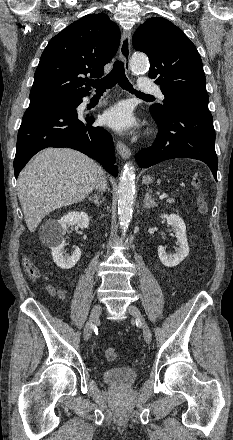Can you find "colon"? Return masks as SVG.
Wrapping results in <instances>:
<instances>
[{
    "label": "colon",
    "mask_w": 233,
    "mask_h": 440,
    "mask_svg": "<svg viewBox=\"0 0 233 440\" xmlns=\"http://www.w3.org/2000/svg\"><path fill=\"white\" fill-rule=\"evenodd\" d=\"M192 185L199 190L197 199V209L200 214H205L208 212V203L205 199L204 193L201 191L202 181L198 174H194L192 177ZM24 268L27 275L31 279H39L41 277V272L39 268L28 258L24 259ZM103 355L108 361H115L118 359V354L115 349L107 347L103 350Z\"/></svg>",
    "instance_id": "colon-1"
}]
</instances>
